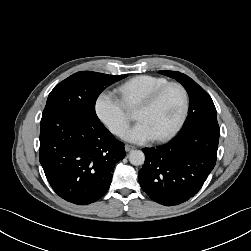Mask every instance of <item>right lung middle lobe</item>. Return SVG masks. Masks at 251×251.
<instances>
[{
    "instance_id": "1",
    "label": "right lung middle lobe",
    "mask_w": 251,
    "mask_h": 251,
    "mask_svg": "<svg viewBox=\"0 0 251 251\" xmlns=\"http://www.w3.org/2000/svg\"><path fill=\"white\" fill-rule=\"evenodd\" d=\"M127 75H107L81 71L60 82L49 94L42 118L60 113L75 112L94 120L95 103L99 94L109 85Z\"/></svg>"
}]
</instances>
